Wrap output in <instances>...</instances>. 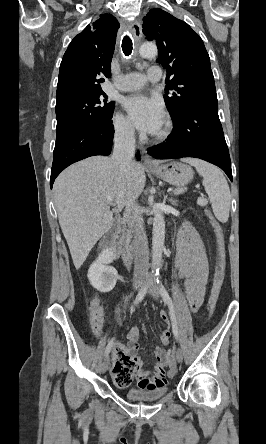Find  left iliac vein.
I'll list each match as a JSON object with an SVG mask.
<instances>
[{"label": "left iliac vein", "mask_w": 266, "mask_h": 444, "mask_svg": "<svg viewBox=\"0 0 266 444\" xmlns=\"http://www.w3.org/2000/svg\"><path fill=\"white\" fill-rule=\"evenodd\" d=\"M147 285L149 287L148 293L154 299H158L159 298V289H158L157 285L154 282H152V281H148ZM175 356H176L177 362L181 363L182 360H183V351H182V349L180 347L176 350Z\"/></svg>", "instance_id": "4c4485c4"}]
</instances>
